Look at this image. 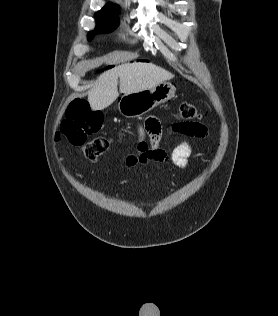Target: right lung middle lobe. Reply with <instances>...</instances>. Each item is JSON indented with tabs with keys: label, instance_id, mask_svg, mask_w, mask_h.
<instances>
[{
	"label": "right lung middle lobe",
	"instance_id": "right-lung-middle-lobe-1",
	"mask_svg": "<svg viewBox=\"0 0 278 316\" xmlns=\"http://www.w3.org/2000/svg\"><path fill=\"white\" fill-rule=\"evenodd\" d=\"M97 26L94 32L88 34V40H91L95 33H107L114 30L118 25V11H99L95 14Z\"/></svg>",
	"mask_w": 278,
	"mask_h": 316
}]
</instances>
